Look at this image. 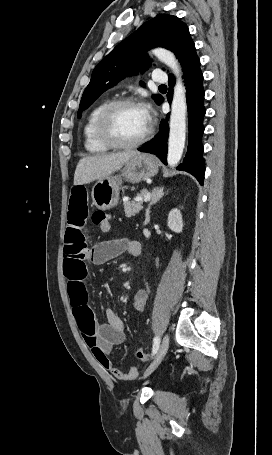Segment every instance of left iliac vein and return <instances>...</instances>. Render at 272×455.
Instances as JSON below:
<instances>
[{"label":"left iliac vein","mask_w":272,"mask_h":455,"mask_svg":"<svg viewBox=\"0 0 272 455\" xmlns=\"http://www.w3.org/2000/svg\"><path fill=\"white\" fill-rule=\"evenodd\" d=\"M168 347H169V336L166 334L163 337V340L161 342V346H160L157 356L155 357L154 361L147 368V370L145 371V373L143 375L144 379L146 377H148L159 366V364L161 363V361L163 360L164 356L167 353Z\"/></svg>","instance_id":"left-iliac-vein-1"}]
</instances>
